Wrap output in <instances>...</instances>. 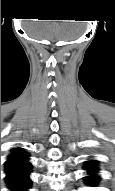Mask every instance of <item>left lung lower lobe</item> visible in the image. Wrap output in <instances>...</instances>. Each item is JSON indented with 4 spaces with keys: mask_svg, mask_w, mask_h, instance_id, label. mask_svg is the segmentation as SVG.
Listing matches in <instances>:
<instances>
[{
    "mask_svg": "<svg viewBox=\"0 0 115 191\" xmlns=\"http://www.w3.org/2000/svg\"><path fill=\"white\" fill-rule=\"evenodd\" d=\"M95 164H96L95 161H89V162L86 164V166H85V168L91 173V175L87 177V181H88L89 184H95L96 181H97L98 178H99L97 175L94 174V173L97 171V170L93 167V165H95Z\"/></svg>",
    "mask_w": 115,
    "mask_h": 191,
    "instance_id": "0a47b994",
    "label": "left lung lower lobe"
}]
</instances>
